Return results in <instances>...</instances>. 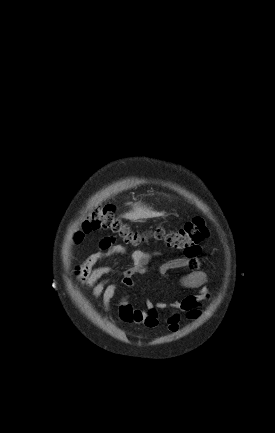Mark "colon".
<instances>
[{
    "label": "colon",
    "instance_id": "1",
    "mask_svg": "<svg viewBox=\"0 0 275 433\" xmlns=\"http://www.w3.org/2000/svg\"><path fill=\"white\" fill-rule=\"evenodd\" d=\"M96 231H109L120 236L127 244L138 245L149 238L166 243L170 248L183 251L185 256H194L198 245L208 236V229L200 217H195L180 228L158 226L149 234L132 229L117 214L115 206H95L83 219L75 240Z\"/></svg>",
    "mask_w": 275,
    "mask_h": 433
}]
</instances>
